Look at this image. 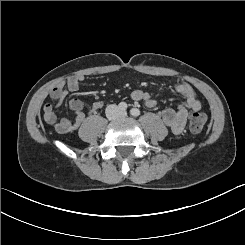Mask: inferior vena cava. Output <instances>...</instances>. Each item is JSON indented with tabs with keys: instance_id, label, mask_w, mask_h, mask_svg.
<instances>
[{
	"instance_id": "602c4592",
	"label": "inferior vena cava",
	"mask_w": 245,
	"mask_h": 245,
	"mask_svg": "<svg viewBox=\"0 0 245 245\" xmlns=\"http://www.w3.org/2000/svg\"><path fill=\"white\" fill-rule=\"evenodd\" d=\"M107 112H108L109 116L112 117L111 112L112 113H114V112L117 113L118 112V107L116 105H110L107 108Z\"/></svg>"
}]
</instances>
